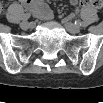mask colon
<instances>
[{
	"instance_id": "5ec220e1",
	"label": "colon",
	"mask_w": 103,
	"mask_h": 103,
	"mask_svg": "<svg viewBox=\"0 0 103 103\" xmlns=\"http://www.w3.org/2000/svg\"><path fill=\"white\" fill-rule=\"evenodd\" d=\"M81 4L83 6H89L96 9H99L102 6V2L100 0H87V1H83Z\"/></svg>"
}]
</instances>
